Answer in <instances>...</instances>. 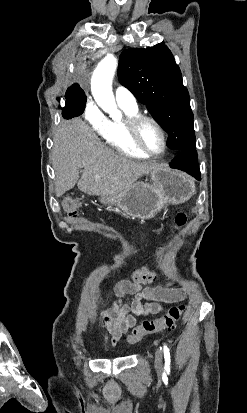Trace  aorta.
Returning a JSON list of instances; mask_svg holds the SVG:
<instances>
[{
  "instance_id": "aorta-1",
  "label": "aorta",
  "mask_w": 247,
  "mask_h": 413,
  "mask_svg": "<svg viewBox=\"0 0 247 413\" xmlns=\"http://www.w3.org/2000/svg\"><path fill=\"white\" fill-rule=\"evenodd\" d=\"M118 61L113 55H107L98 64L91 79V91L97 104L112 118L120 116L112 92V80Z\"/></svg>"
}]
</instances>
